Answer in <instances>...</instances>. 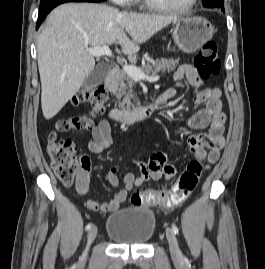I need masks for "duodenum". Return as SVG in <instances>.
Returning a JSON list of instances; mask_svg holds the SVG:
<instances>
[{
	"instance_id": "410a0bca",
	"label": "duodenum",
	"mask_w": 265,
	"mask_h": 269,
	"mask_svg": "<svg viewBox=\"0 0 265 269\" xmlns=\"http://www.w3.org/2000/svg\"><path fill=\"white\" fill-rule=\"evenodd\" d=\"M119 80V71L117 69H110L105 78L104 85L110 91L113 92L116 88L117 82ZM160 102L157 99L154 103L149 105L138 106L134 109L120 110L117 108H112L109 111V116L119 123L130 124L150 117Z\"/></svg>"
}]
</instances>
